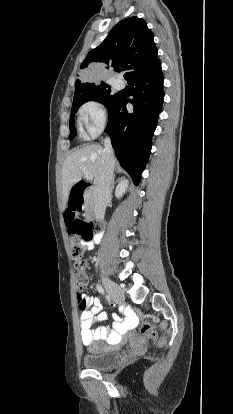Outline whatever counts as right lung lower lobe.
Masks as SVG:
<instances>
[{"instance_id": "1", "label": "right lung lower lobe", "mask_w": 233, "mask_h": 414, "mask_svg": "<svg viewBox=\"0 0 233 414\" xmlns=\"http://www.w3.org/2000/svg\"><path fill=\"white\" fill-rule=\"evenodd\" d=\"M127 82L132 87L131 95L134 98L128 100L124 95H119L108 109L107 131L118 161L137 185L148 161L152 136L162 111L164 93L161 67ZM128 102L133 105L131 111L126 108Z\"/></svg>"}]
</instances>
